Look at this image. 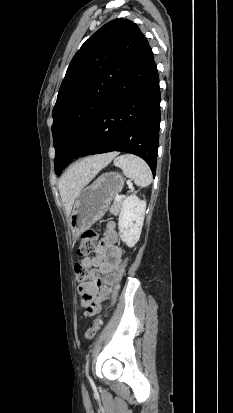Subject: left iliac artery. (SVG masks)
<instances>
[{"label": "left iliac artery", "mask_w": 233, "mask_h": 413, "mask_svg": "<svg viewBox=\"0 0 233 413\" xmlns=\"http://www.w3.org/2000/svg\"><path fill=\"white\" fill-rule=\"evenodd\" d=\"M88 368H89V359H87L85 371H86V376H87V378L90 379L89 374H88Z\"/></svg>", "instance_id": "1"}]
</instances>
